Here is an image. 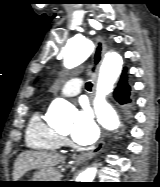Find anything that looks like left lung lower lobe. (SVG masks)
I'll return each mask as SVG.
<instances>
[{
    "label": "left lung lower lobe",
    "mask_w": 160,
    "mask_h": 187,
    "mask_svg": "<svg viewBox=\"0 0 160 187\" xmlns=\"http://www.w3.org/2000/svg\"><path fill=\"white\" fill-rule=\"evenodd\" d=\"M126 74L127 71L126 68H124L121 75V80L119 81L118 86L114 91V97L121 105H124L125 108L130 109L133 100L130 97L131 88L127 83V80L124 79L126 77Z\"/></svg>",
    "instance_id": "0a47b994"
}]
</instances>
